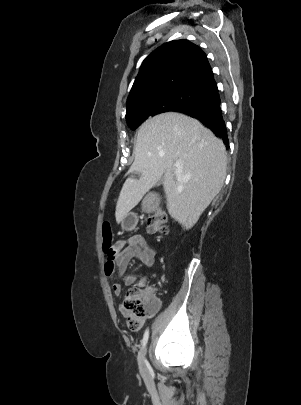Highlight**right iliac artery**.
<instances>
[{"mask_svg": "<svg viewBox=\"0 0 301 405\" xmlns=\"http://www.w3.org/2000/svg\"><path fill=\"white\" fill-rule=\"evenodd\" d=\"M148 338H149V331H148V329L145 331V333H144V336H143V339H142V345H143V347L146 345V343H147V341H148Z\"/></svg>", "mask_w": 301, "mask_h": 405, "instance_id": "right-iliac-artery-1", "label": "right iliac artery"}]
</instances>
